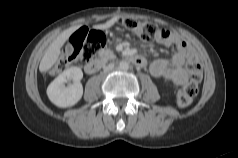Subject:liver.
I'll return each instance as SVG.
<instances>
[{
    "instance_id": "obj_1",
    "label": "liver",
    "mask_w": 238,
    "mask_h": 158,
    "mask_svg": "<svg viewBox=\"0 0 238 158\" xmlns=\"http://www.w3.org/2000/svg\"><path fill=\"white\" fill-rule=\"evenodd\" d=\"M116 21L117 19H112L106 22L105 24L98 25L96 28L98 29L110 28L111 26L114 25ZM79 27L80 26H74L66 29L50 44L39 65V70L41 72L49 70L56 63L61 54V47L70 37V35L74 33Z\"/></svg>"
}]
</instances>
